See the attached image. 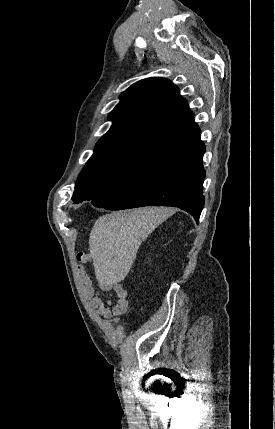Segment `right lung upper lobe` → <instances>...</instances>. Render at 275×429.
Returning <instances> with one entry per match:
<instances>
[{
    "mask_svg": "<svg viewBox=\"0 0 275 429\" xmlns=\"http://www.w3.org/2000/svg\"><path fill=\"white\" fill-rule=\"evenodd\" d=\"M108 119L113 124L94 153L124 149L152 157L200 132L178 87L164 78L151 77L131 85Z\"/></svg>",
    "mask_w": 275,
    "mask_h": 429,
    "instance_id": "cb5924a9",
    "label": "right lung upper lobe"
}]
</instances>
